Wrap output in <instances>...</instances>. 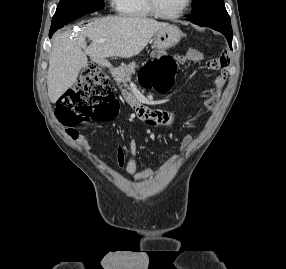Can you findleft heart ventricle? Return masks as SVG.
<instances>
[{
  "instance_id": "1",
  "label": "left heart ventricle",
  "mask_w": 286,
  "mask_h": 269,
  "mask_svg": "<svg viewBox=\"0 0 286 269\" xmlns=\"http://www.w3.org/2000/svg\"><path fill=\"white\" fill-rule=\"evenodd\" d=\"M186 0H156L157 6L164 14L172 15L179 12Z\"/></svg>"
}]
</instances>
